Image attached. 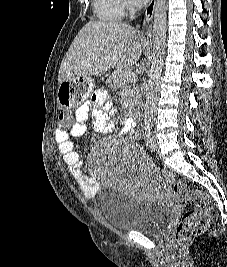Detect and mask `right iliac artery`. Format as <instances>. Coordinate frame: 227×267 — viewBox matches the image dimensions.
Instances as JSON below:
<instances>
[{
    "mask_svg": "<svg viewBox=\"0 0 227 267\" xmlns=\"http://www.w3.org/2000/svg\"><path fill=\"white\" fill-rule=\"evenodd\" d=\"M146 146L149 150H153V141L151 139L150 132L146 133Z\"/></svg>",
    "mask_w": 227,
    "mask_h": 267,
    "instance_id": "right-iliac-artery-1",
    "label": "right iliac artery"
}]
</instances>
